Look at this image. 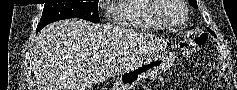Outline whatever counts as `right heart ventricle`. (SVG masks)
<instances>
[{
  "label": "right heart ventricle",
  "mask_w": 237,
  "mask_h": 90,
  "mask_svg": "<svg viewBox=\"0 0 237 90\" xmlns=\"http://www.w3.org/2000/svg\"><path fill=\"white\" fill-rule=\"evenodd\" d=\"M109 5L108 24L114 28L161 29L152 17L156 14H149L152 7H159L154 0H118Z\"/></svg>",
  "instance_id": "right-heart-ventricle-1"
}]
</instances>
